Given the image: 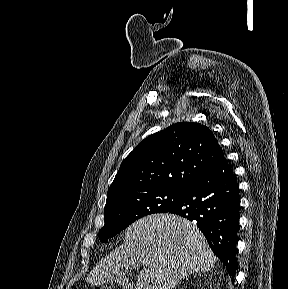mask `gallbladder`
<instances>
[{
	"mask_svg": "<svg viewBox=\"0 0 288 289\" xmlns=\"http://www.w3.org/2000/svg\"><path fill=\"white\" fill-rule=\"evenodd\" d=\"M113 284L127 286L128 280L123 272H118L115 276H113L110 281Z\"/></svg>",
	"mask_w": 288,
	"mask_h": 289,
	"instance_id": "gallbladder-1",
	"label": "gallbladder"
}]
</instances>
